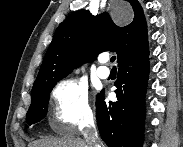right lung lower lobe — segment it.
Masks as SVG:
<instances>
[{"label": "right lung lower lobe", "mask_w": 183, "mask_h": 147, "mask_svg": "<svg viewBox=\"0 0 183 147\" xmlns=\"http://www.w3.org/2000/svg\"><path fill=\"white\" fill-rule=\"evenodd\" d=\"M148 56L146 50L118 63L117 102L106 103L103 91L97 96V125L108 147H142Z\"/></svg>", "instance_id": "obj_1"}]
</instances>
